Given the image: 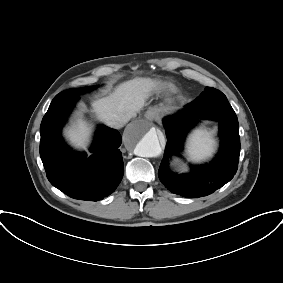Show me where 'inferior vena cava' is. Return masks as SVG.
<instances>
[{"label": "inferior vena cava", "mask_w": 283, "mask_h": 283, "mask_svg": "<svg viewBox=\"0 0 283 283\" xmlns=\"http://www.w3.org/2000/svg\"><path fill=\"white\" fill-rule=\"evenodd\" d=\"M125 122L123 121H109L108 122V125L112 128H115V129H120L124 126Z\"/></svg>", "instance_id": "1"}]
</instances>
